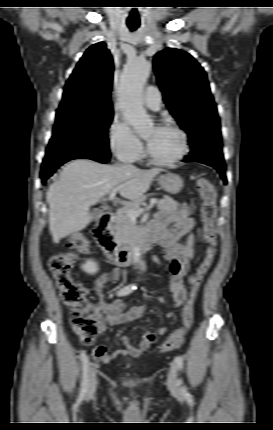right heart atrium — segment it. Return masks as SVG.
<instances>
[{"label":"right heart atrium","instance_id":"1","mask_svg":"<svg viewBox=\"0 0 273 430\" xmlns=\"http://www.w3.org/2000/svg\"><path fill=\"white\" fill-rule=\"evenodd\" d=\"M109 145L113 154L121 161L133 162L143 153V144L127 123L115 117L109 127Z\"/></svg>","mask_w":273,"mask_h":430}]
</instances>
